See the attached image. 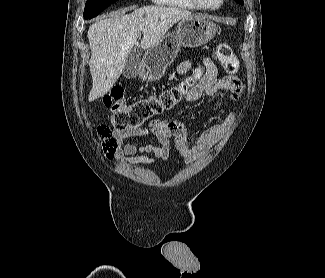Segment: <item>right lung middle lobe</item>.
<instances>
[{
  "instance_id": "dd1d6c3e",
  "label": "right lung middle lobe",
  "mask_w": 325,
  "mask_h": 278,
  "mask_svg": "<svg viewBox=\"0 0 325 278\" xmlns=\"http://www.w3.org/2000/svg\"><path fill=\"white\" fill-rule=\"evenodd\" d=\"M116 0H87L83 16L91 19L101 13L105 8Z\"/></svg>"
}]
</instances>
